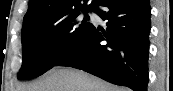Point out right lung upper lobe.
Here are the masks:
<instances>
[{
    "instance_id": "cb5924a9",
    "label": "right lung upper lobe",
    "mask_w": 173,
    "mask_h": 91,
    "mask_svg": "<svg viewBox=\"0 0 173 91\" xmlns=\"http://www.w3.org/2000/svg\"><path fill=\"white\" fill-rule=\"evenodd\" d=\"M83 2L86 3L87 0ZM97 2L98 0L92 1L88 7L94 8ZM83 6L81 0H29L23 28L81 11L84 9Z\"/></svg>"
}]
</instances>
